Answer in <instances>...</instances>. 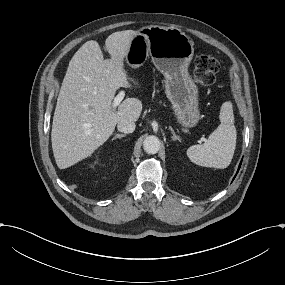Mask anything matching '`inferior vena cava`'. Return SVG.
Masks as SVG:
<instances>
[{"instance_id": "obj_1", "label": "inferior vena cava", "mask_w": 285, "mask_h": 285, "mask_svg": "<svg viewBox=\"0 0 285 285\" xmlns=\"http://www.w3.org/2000/svg\"><path fill=\"white\" fill-rule=\"evenodd\" d=\"M117 129L120 132L132 133L135 130V124L129 120H121L117 124Z\"/></svg>"}]
</instances>
